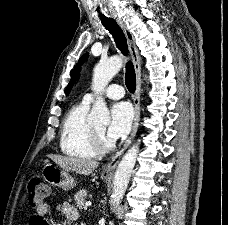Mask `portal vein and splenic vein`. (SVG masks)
I'll list each match as a JSON object with an SVG mask.
<instances>
[{"mask_svg":"<svg viewBox=\"0 0 228 225\" xmlns=\"http://www.w3.org/2000/svg\"><path fill=\"white\" fill-rule=\"evenodd\" d=\"M91 203H85V209L86 207H90Z\"/></svg>","mask_w":228,"mask_h":225,"instance_id":"1","label":"portal vein and splenic vein"}]
</instances>
